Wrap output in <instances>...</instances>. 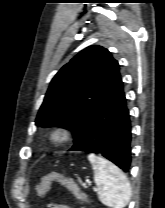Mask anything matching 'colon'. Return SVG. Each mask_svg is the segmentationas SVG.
I'll list each match as a JSON object with an SVG mask.
<instances>
[{
    "instance_id": "obj_1",
    "label": "colon",
    "mask_w": 165,
    "mask_h": 208,
    "mask_svg": "<svg viewBox=\"0 0 165 208\" xmlns=\"http://www.w3.org/2000/svg\"><path fill=\"white\" fill-rule=\"evenodd\" d=\"M53 182H57L66 187L78 200L86 201L85 193L81 191L73 180L57 173L48 174L42 178L36 188L38 195L44 196L49 191Z\"/></svg>"
}]
</instances>
